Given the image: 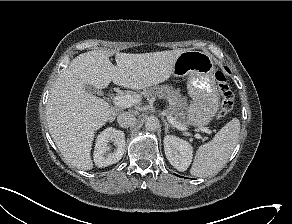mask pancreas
<instances>
[{
	"label": "pancreas",
	"mask_w": 292,
	"mask_h": 224,
	"mask_svg": "<svg viewBox=\"0 0 292 224\" xmlns=\"http://www.w3.org/2000/svg\"><path fill=\"white\" fill-rule=\"evenodd\" d=\"M146 94H154L159 98L166 99L169 103L168 114L175 118V120H179V123L183 126L189 125L183 111L187 105L186 98L182 96L180 90L173 89L168 85H162L148 89Z\"/></svg>",
	"instance_id": "1"
}]
</instances>
